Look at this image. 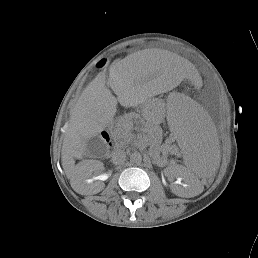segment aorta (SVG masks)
Instances as JSON below:
<instances>
[{
  "label": "aorta",
  "instance_id": "1",
  "mask_svg": "<svg viewBox=\"0 0 258 258\" xmlns=\"http://www.w3.org/2000/svg\"><path fill=\"white\" fill-rule=\"evenodd\" d=\"M142 161V156L139 152H134L130 156V162L133 164H140Z\"/></svg>",
  "mask_w": 258,
  "mask_h": 258
}]
</instances>
